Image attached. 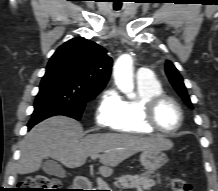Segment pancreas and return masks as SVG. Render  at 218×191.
Here are the masks:
<instances>
[{"label": "pancreas", "instance_id": "1", "mask_svg": "<svg viewBox=\"0 0 218 191\" xmlns=\"http://www.w3.org/2000/svg\"><path fill=\"white\" fill-rule=\"evenodd\" d=\"M156 182L148 173L142 175H123L116 179L114 185L121 189H135L137 191L150 190Z\"/></svg>", "mask_w": 218, "mask_h": 191}]
</instances>
